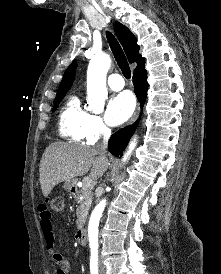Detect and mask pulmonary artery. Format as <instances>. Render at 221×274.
<instances>
[{"label": "pulmonary artery", "instance_id": "obj_1", "mask_svg": "<svg viewBox=\"0 0 221 274\" xmlns=\"http://www.w3.org/2000/svg\"><path fill=\"white\" fill-rule=\"evenodd\" d=\"M108 86L114 90L119 91L124 87V80L118 73H113L108 77Z\"/></svg>", "mask_w": 221, "mask_h": 274}]
</instances>
